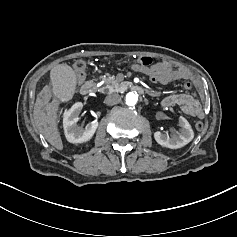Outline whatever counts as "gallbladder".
Masks as SVG:
<instances>
[{
  "label": "gallbladder",
  "mask_w": 237,
  "mask_h": 237,
  "mask_svg": "<svg viewBox=\"0 0 237 237\" xmlns=\"http://www.w3.org/2000/svg\"><path fill=\"white\" fill-rule=\"evenodd\" d=\"M51 79V88L55 95L64 101L70 99L76 82L73 70L66 64H59L51 72Z\"/></svg>",
  "instance_id": "gallbladder-1"
}]
</instances>
